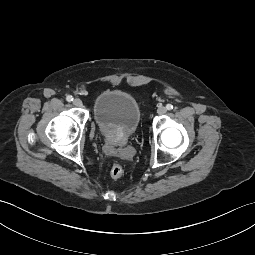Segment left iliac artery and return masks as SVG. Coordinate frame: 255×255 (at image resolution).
<instances>
[{
  "mask_svg": "<svg viewBox=\"0 0 255 255\" xmlns=\"http://www.w3.org/2000/svg\"><path fill=\"white\" fill-rule=\"evenodd\" d=\"M166 108H167L168 110H172V109H173V105H172V104H167V105H166Z\"/></svg>",
  "mask_w": 255,
  "mask_h": 255,
  "instance_id": "1",
  "label": "left iliac artery"
}]
</instances>
